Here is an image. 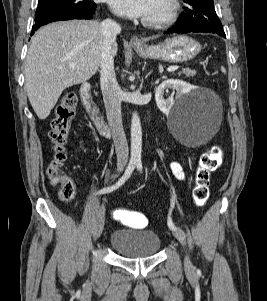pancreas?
Instances as JSON below:
<instances>
[{"label": "pancreas", "mask_w": 267, "mask_h": 301, "mask_svg": "<svg viewBox=\"0 0 267 301\" xmlns=\"http://www.w3.org/2000/svg\"><path fill=\"white\" fill-rule=\"evenodd\" d=\"M180 74H183L186 77H193L196 74V72L189 68H184L182 69V72Z\"/></svg>", "instance_id": "obj_1"}]
</instances>
